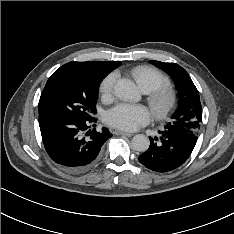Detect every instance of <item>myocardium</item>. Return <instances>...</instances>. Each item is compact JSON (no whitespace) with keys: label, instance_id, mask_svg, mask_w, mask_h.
<instances>
[{"label":"myocardium","instance_id":"f54148a6","mask_svg":"<svg viewBox=\"0 0 234 234\" xmlns=\"http://www.w3.org/2000/svg\"><path fill=\"white\" fill-rule=\"evenodd\" d=\"M148 103L154 116L164 119L175 108L176 94L170 87H159L149 93Z\"/></svg>","mask_w":234,"mask_h":234}]
</instances>
